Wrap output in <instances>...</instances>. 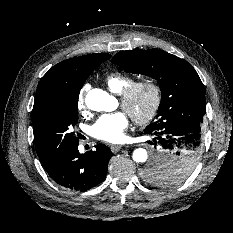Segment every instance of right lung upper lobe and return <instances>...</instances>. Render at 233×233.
<instances>
[{
	"mask_svg": "<svg viewBox=\"0 0 233 233\" xmlns=\"http://www.w3.org/2000/svg\"><path fill=\"white\" fill-rule=\"evenodd\" d=\"M109 54H89L62 61L53 66L40 80L33 109L45 100L56 96H70L79 91L90 73Z\"/></svg>",
	"mask_w": 233,
	"mask_h": 233,
	"instance_id": "1",
	"label": "right lung upper lobe"
}]
</instances>
